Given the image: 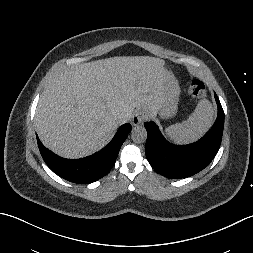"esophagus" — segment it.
<instances>
[{
  "mask_svg": "<svg viewBox=\"0 0 253 253\" xmlns=\"http://www.w3.org/2000/svg\"><path fill=\"white\" fill-rule=\"evenodd\" d=\"M145 117H146V116H145L144 112H142V111H137V112L133 115V117H132V121H131L132 125H133V126H138L139 124H142V122L144 121Z\"/></svg>",
  "mask_w": 253,
  "mask_h": 253,
  "instance_id": "34e87169",
  "label": "esophagus"
}]
</instances>
